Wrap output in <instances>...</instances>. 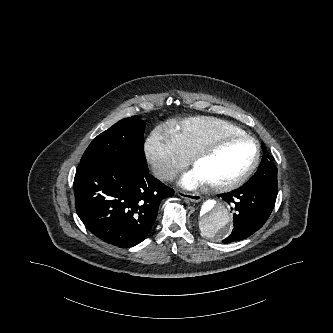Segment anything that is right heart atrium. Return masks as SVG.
<instances>
[{
  "mask_svg": "<svg viewBox=\"0 0 333 333\" xmlns=\"http://www.w3.org/2000/svg\"><path fill=\"white\" fill-rule=\"evenodd\" d=\"M144 158L160 180L168 181L188 164V157L180 150L172 135L163 127H156L147 137Z\"/></svg>",
  "mask_w": 333,
  "mask_h": 333,
  "instance_id": "obj_1",
  "label": "right heart atrium"
}]
</instances>
